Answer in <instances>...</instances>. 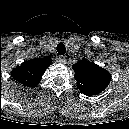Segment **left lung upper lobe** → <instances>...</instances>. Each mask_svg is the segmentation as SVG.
<instances>
[{
  "label": "left lung upper lobe",
  "mask_w": 129,
  "mask_h": 129,
  "mask_svg": "<svg viewBox=\"0 0 129 129\" xmlns=\"http://www.w3.org/2000/svg\"><path fill=\"white\" fill-rule=\"evenodd\" d=\"M75 79L78 88L85 94L93 95L102 92L109 84L110 74L95 63L81 60L76 64Z\"/></svg>",
  "instance_id": "obj_1"
}]
</instances>
